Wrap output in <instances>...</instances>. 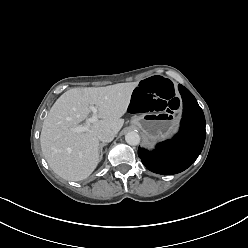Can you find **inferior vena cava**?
Returning <instances> with one entry per match:
<instances>
[{"label": "inferior vena cava", "mask_w": 248, "mask_h": 248, "mask_svg": "<svg viewBox=\"0 0 248 248\" xmlns=\"http://www.w3.org/2000/svg\"><path fill=\"white\" fill-rule=\"evenodd\" d=\"M114 137H115V132L109 128L101 129L98 132V139L103 143L111 142L114 139Z\"/></svg>", "instance_id": "1"}]
</instances>
